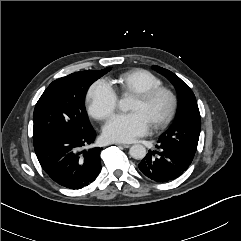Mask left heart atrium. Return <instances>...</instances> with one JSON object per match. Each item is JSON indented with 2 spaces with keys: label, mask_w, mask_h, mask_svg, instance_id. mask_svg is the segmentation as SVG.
<instances>
[{
  "label": "left heart atrium",
  "mask_w": 241,
  "mask_h": 241,
  "mask_svg": "<svg viewBox=\"0 0 241 241\" xmlns=\"http://www.w3.org/2000/svg\"><path fill=\"white\" fill-rule=\"evenodd\" d=\"M151 123L142 112L113 116L104 126V138L110 142L127 143L150 131Z\"/></svg>",
  "instance_id": "left-heart-atrium-1"
}]
</instances>
